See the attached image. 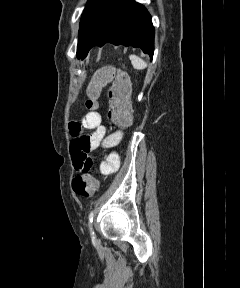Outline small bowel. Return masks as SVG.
<instances>
[{
    "label": "small bowel",
    "mask_w": 240,
    "mask_h": 288,
    "mask_svg": "<svg viewBox=\"0 0 240 288\" xmlns=\"http://www.w3.org/2000/svg\"><path fill=\"white\" fill-rule=\"evenodd\" d=\"M84 130L92 131L84 134ZM69 132L72 136L70 152L74 168L79 172L87 171L91 165L89 153L99 146L114 147L120 140V132L107 134L102 123V115L98 111L87 112L80 122L69 123ZM120 159L115 152L110 153L100 163V172L109 175L118 170Z\"/></svg>",
    "instance_id": "c3829d8e"
}]
</instances>
